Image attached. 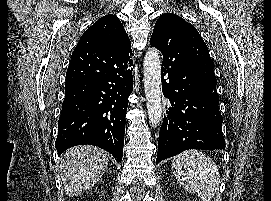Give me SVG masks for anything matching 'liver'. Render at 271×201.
<instances>
[{"instance_id": "obj_1", "label": "liver", "mask_w": 271, "mask_h": 201, "mask_svg": "<svg viewBox=\"0 0 271 201\" xmlns=\"http://www.w3.org/2000/svg\"><path fill=\"white\" fill-rule=\"evenodd\" d=\"M108 154L98 147L70 148L60 162V179L67 196H76L94 186L107 168Z\"/></svg>"}]
</instances>
